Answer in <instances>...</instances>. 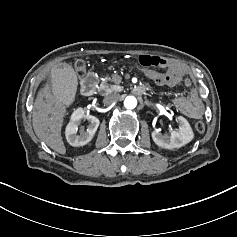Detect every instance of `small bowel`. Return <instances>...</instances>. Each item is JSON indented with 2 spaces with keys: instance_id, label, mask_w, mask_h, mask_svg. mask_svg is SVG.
<instances>
[{
  "instance_id": "small-bowel-1",
  "label": "small bowel",
  "mask_w": 237,
  "mask_h": 237,
  "mask_svg": "<svg viewBox=\"0 0 237 237\" xmlns=\"http://www.w3.org/2000/svg\"><path fill=\"white\" fill-rule=\"evenodd\" d=\"M166 67L168 74H173L176 76L175 80L169 85L177 84L187 74L186 68L178 62L168 61ZM144 73L151 80H154L159 75V72L154 69H144ZM184 84L186 87H191L192 85L191 80L188 78L184 80ZM138 88L140 91L137 92L141 93L146 91L148 86L139 85ZM172 104L182 114L193 119H201L206 114V109L196 88H192L187 96L174 97L172 99Z\"/></svg>"
}]
</instances>
